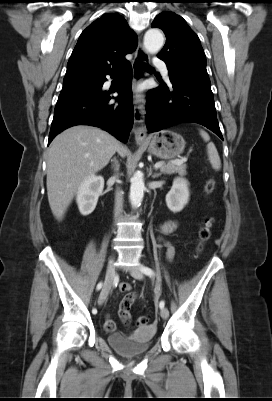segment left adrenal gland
I'll use <instances>...</instances> for the list:
<instances>
[{
    "instance_id": "a2214340",
    "label": "left adrenal gland",
    "mask_w": 272,
    "mask_h": 401,
    "mask_svg": "<svg viewBox=\"0 0 272 401\" xmlns=\"http://www.w3.org/2000/svg\"><path fill=\"white\" fill-rule=\"evenodd\" d=\"M149 175H151L152 178L155 179V178H158L159 176H161V173H155L152 175V168L150 167Z\"/></svg>"
}]
</instances>
